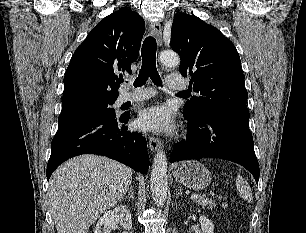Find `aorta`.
I'll list each match as a JSON object with an SVG mask.
<instances>
[{
	"label": "aorta",
	"mask_w": 306,
	"mask_h": 233,
	"mask_svg": "<svg viewBox=\"0 0 306 233\" xmlns=\"http://www.w3.org/2000/svg\"><path fill=\"white\" fill-rule=\"evenodd\" d=\"M160 61L168 67H176L180 64V58L174 51H163L160 54ZM150 183L153 200L158 206H163L168 189L167 157L163 150L158 151L154 157Z\"/></svg>",
	"instance_id": "aorta-1"
}]
</instances>
